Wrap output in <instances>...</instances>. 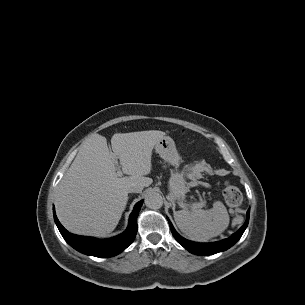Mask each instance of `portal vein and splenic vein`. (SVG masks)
<instances>
[{
    "label": "portal vein and splenic vein",
    "instance_id": "18ae733b",
    "mask_svg": "<svg viewBox=\"0 0 305 305\" xmlns=\"http://www.w3.org/2000/svg\"><path fill=\"white\" fill-rule=\"evenodd\" d=\"M114 163H115L116 169H117L116 175H117L118 177H121V176H122V171H121V169H120L121 166L119 165V163H118L117 160H114ZM197 204H198V206L201 207V208L206 206V202L203 201V200H201V202H200V203H197Z\"/></svg>",
    "mask_w": 305,
    "mask_h": 305
}]
</instances>
